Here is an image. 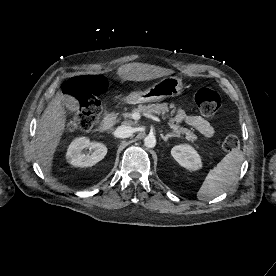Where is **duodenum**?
Returning <instances> with one entry per match:
<instances>
[{
    "instance_id": "410a0bca",
    "label": "duodenum",
    "mask_w": 276,
    "mask_h": 276,
    "mask_svg": "<svg viewBox=\"0 0 276 276\" xmlns=\"http://www.w3.org/2000/svg\"><path fill=\"white\" fill-rule=\"evenodd\" d=\"M117 115L115 111H110L106 114L104 120L98 126L99 133L108 132L116 121Z\"/></svg>"
}]
</instances>
